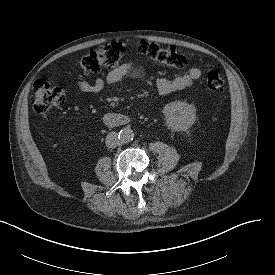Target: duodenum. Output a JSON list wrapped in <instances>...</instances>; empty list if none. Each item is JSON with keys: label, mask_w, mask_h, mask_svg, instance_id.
Here are the masks:
<instances>
[{"label": "duodenum", "mask_w": 275, "mask_h": 275, "mask_svg": "<svg viewBox=\"0 0 275 275\" xmlns=\"http://www.w3.org/2000/svg\"><path fill=\"white\" fill-rule=\"evenodd\" d=\"M103 122L110 127L125 126L131 122V119L127 116H123L116 113H106L103 116Z\"/></svg>", "instance_id": "duodenum-1"}]
</instances>
